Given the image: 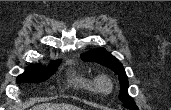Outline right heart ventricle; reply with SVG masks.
I'll list each match as a JSON object with an SVG mask.
<instances>
[{
    "label": "right heart ventricle",
    "mask_w": 171,
    "mask_h": 110,
    "mask_svg": "<svg viewBox=\"0 0 171 110\" xmlns=\"http://www.w3.org/2000/svg\"><path fill=\"white\" fill-rule=\"evenodd\" d=\"M71 82L74 86L90 92L96 89L95 83L92 80L85 78L83 76H74L71 79Z\"/></svg>",
    "instance_id": "e07e8e85"
}]
</instances>
